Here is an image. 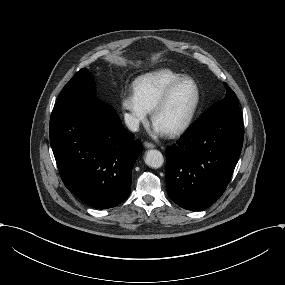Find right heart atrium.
Instances as JSON below:
<instances>
[{
  "label": "right heart atrium",
  "instance_id": "d8ad5b80",
  "mask_svg": "<svg viewBox=\"0 0 285 285\" xmlns=\"http://www.w3.org/2000/svg\"><path fill=\"white\" fill-rule=\"evenodd\" d=\"M121 107L127 113L128 124L137 128L148 121L150 110L139 98L135 86L129 87L121 98Z\"/></svg>",
  "mask_w": 285,
  "mask_h": 285
}]
</instances>
